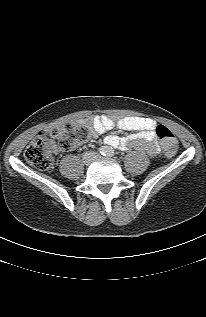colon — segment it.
<instances>
[{
  "label": "colon",
  "instance_id": "1",
  "mask_svg": "<svg viewBox=\"0 0 206 317\" xmlns=\"http://www.w3.org/2000/svg\"><path fill=\"white\" fill-rule=\"evenodd\" d=\"M155 132L165 153L174 154L178 145L174 133L164 125H156ZM90 134L91 130L80 124L67 123L57 126L46 135L37 137L27 146L24 152L25 159L35 168L48 171L53 166L51 157L53 141H56L62 150H70L86 141Z\"/></svg>",
  "mask_w": 206,
  "mask_h": 317
}]
</instances>
